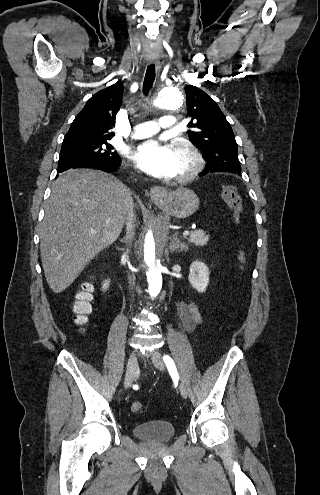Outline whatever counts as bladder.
<instances>
[{"label":"bladder","mask_w":320,"mask_h":495,"mask_svg":"<svg viewBox=\"0 0 320 495\" xmlns=\"http://www.w3.org/2000/svg\"><path fill=\"white\" fill-rule=\"evenodd\" d=\"M133 433L139 439L150 442H165L176 433L174 424L163 420L139 423L134 426Z\"/></svg>","instance_id":"obj_1"}]
</instances>
